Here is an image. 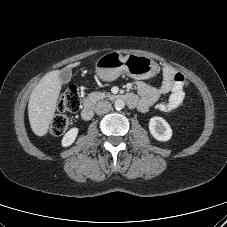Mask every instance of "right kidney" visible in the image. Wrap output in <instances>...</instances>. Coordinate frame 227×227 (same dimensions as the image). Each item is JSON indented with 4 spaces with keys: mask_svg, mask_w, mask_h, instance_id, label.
Here are the masks:
<instances>
[{
    "mask_svg": "<svg viewBox=\"0 0 227 227\" xmlns=\"http://www.w3.org/2000/svg\"><path fill=\"white\" fill-rule=\"evenodd\" d=\"M78 134V128L73 127L71 128L63 137L62 139V146L63 147H68L70 146L76 139Z\"/></svg>",
    "mask_w": 227,
    "mask_h": 227,
    "instance_id": "1",
    "label": "right kidney"
}]
</instances>
